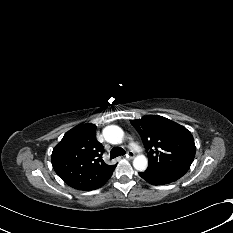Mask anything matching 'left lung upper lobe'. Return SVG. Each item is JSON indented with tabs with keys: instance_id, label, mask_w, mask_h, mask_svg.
<instances>
[{
	"instance_id": "1",
	"label": "left lung upper lobe",
	"mask_w": 233,
	"mask_h": 233,
	"mask_svg": "<svg viewBox=\"0 0 233 233\" xmlns=\"http://www.w3.org/2000/svg\"><path fill=\"white\" fill-rule=\"evenodd\" d=\"M131 124L147 150V170L172 182L189 170L195 157V143L184 126L158 115L131 120Z\"/></svg>"
}]
</instances>
